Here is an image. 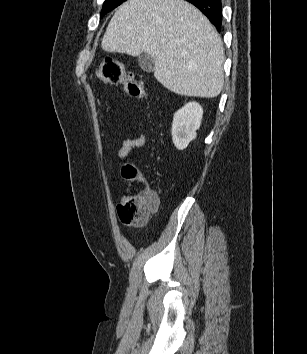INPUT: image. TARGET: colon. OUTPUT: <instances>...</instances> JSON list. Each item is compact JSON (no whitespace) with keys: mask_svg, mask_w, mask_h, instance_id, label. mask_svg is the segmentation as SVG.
I'll return each mask as SVG.
<instances>
[{"mask_svg":"<svg viewBox=\"0 0 307 354\" xmlns=\"http://www.w3.org/2000/svg\"><path fill=\"white\" fill-rule=\"evenodd\" d=\"M96 74L107 85L124 84L130 95L134 97L144 98L146 96L142 80L127 72L123 64L115 58L105 57L99 63ZM122 175L130 181H145L143 174L132 165L125 166ZM157 204L155 192L146 186L135 193L122 195L117 205V213L123 224L141 225L156 209Z\"/></svg>","mask_w":307,"mask_h":354,"instance_id":"1","label":"colon"}]
</instances>
